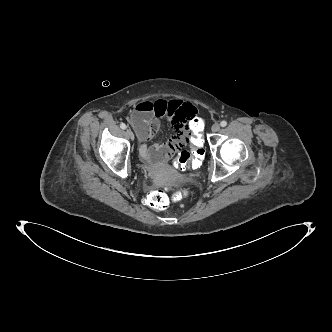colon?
Masks as SVG:
<instances>
[{
    "label": "colon",
    "instance_id": "5ec220e1",
    "mask_svg": "<svg viewBox=\"0 0 332 332\" xmlns=\"http://www.w3.org/2000/svg\"><path fill=\"white\" fill-rule=\"evenodd\" d=\"M190 138L186 142L183 151L176 155L170 162L173 170L192 168L197 169L200 163L208 155L203 138V122L199 117L189 120ZM187 192H175L172 195L174 202L180 201ZM148 204L157 210H164L169 205V198L163 191H154L148 196Z\"/></svg>",
    "mask_w": 332,
    "mask_h": 332
}]
</instances>
